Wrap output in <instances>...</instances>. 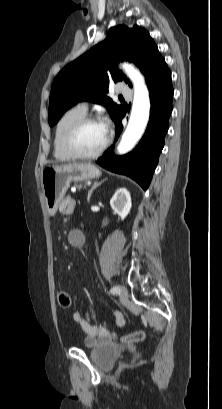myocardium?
<instances>
[{"label":"myocardium","instance_id":"f54148a6","mask_svg":"<svg viewBox=\"0 0 222 409\" xmlns=\"http://www.w3.org/2000/svg\"><path fill=\"white\" fill-rule=\"evenodd\" d=\"M102 123L101 119L96 117V116H92V115H86L84 117H82L81 119H79L78 121H76L67 131L66 135H65V139H64V145H65V149L66 151L73 157L76 159H96L99 156H101L104 151L107 149V147L110 144V135L107 134L106 140L104 142V144L102 145V147L94 152V153H82L80 152L77 147L75 146V138L78 134V132L87 124L90 123Z\"/></svg>","mask_w":222,"mask_h":409}]
</instances>
